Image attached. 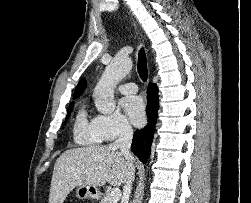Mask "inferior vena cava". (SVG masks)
<instances>
[{
  "instance_id": "obj_1",
  "label": "inferior vena cava",
  "mask_w": 251,
  "mask_h": 203,
  "mask_svg": "<svg viewBox=\"0 0 251 203\" xmlns=\"http://www.w3.org/2000/svg\"><path fill=\"white\" fill-rule=\"evenodd\" d=\"M132 138H133V129L127 122H124L120 126L119 136L117 140L113 144H111L113 148L120 149V152L128 161V172L123 187V196L121 203H128L131 194L132 183L134 180L135 170L133 164V156L131 155L130 152Z\"/></svg>"
}]
</instances>
